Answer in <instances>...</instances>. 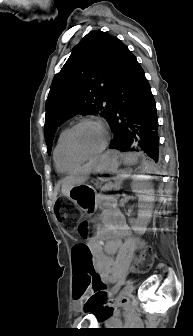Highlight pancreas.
Masks as SVG:
<instances>
[{
  "label": "pancreas",
  "mask_w": 193,
  "mask_h": 336,
  "mask_svg": "<svg viewBox=\"0 0 193 336\" xmlns=\"http://www.w3.org/2000/svg\"><path fill=\"white\" fill-rule=\"evenodd\" d=\"M117 186L119 187L118 181H116L114 184L108 183L102 187L103 195L101 196L100 200L101 209L106 211H115L117 209V198L113 197V194L111 193L112 189H116Z\"/></svg>",
  "instance_id": "1"
}]
</instances>
